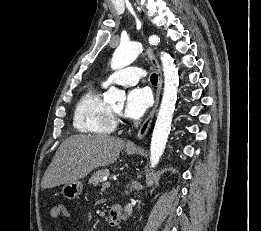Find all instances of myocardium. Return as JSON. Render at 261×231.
<instances>
[{
	"instance_id": "1",
	"label": "myocardium",
	"mask_w": 261,
	"mask_h": 231,
	"mask_svg": "<svg viewBox=\"0 0 261 231\" xmlns=\"http://www.w3.org/2000/svg\"><path fill=\"white\" fill-rule=\"evenodd\" d=\"M112 113H113L115 119H118L121 115V113L119 111H115L114 109H112Z\"/></svg>"
}]
</instances>
